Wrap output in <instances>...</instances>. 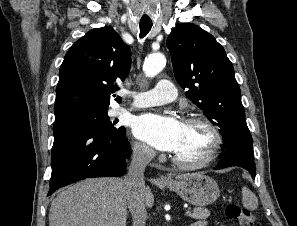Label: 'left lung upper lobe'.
I'll use <instances>...</instances> for the list:
<instances>
[{
	"label": "left lung upper lobe",
	"instance_id": "1",
	"mask_svg": "<svg viewBox=\"0 0 297 226\" xmlns=\"http://www.w3.org/2000/svg\"><path fill=\"white\" fill-rule=\"evenodd\" d=\"M174 75L185 95L220 128L224 149L253 147L234 68L216 39L192 23L178 24L167 39Z\"/></svg>",
	"mask_w": 297,
	"mask_h": 226
}]
</instances>
